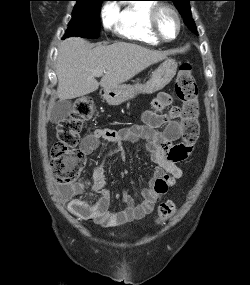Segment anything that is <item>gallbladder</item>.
<instances>
[{"label":"gallbladder","mask_w":250,"mask_h":285,"mask_svg":"<svg viewBox=\"0 0 250 285\" xmlns=\"http://www.w3.org/2000/svg\"><path fill=\"white\" fill-rule=\"evenodd\" d=\"M72 103L69 100H62L57 102L51 109L50 121L52 123H59L68 118L71 114Z\"/></svg>","instance_id":"gallbladder-1"}]
</instances>
